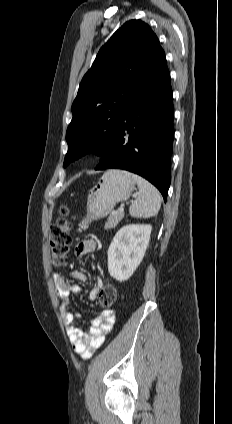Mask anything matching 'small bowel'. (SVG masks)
Segmentation results:
<instances>
[{
	"label": "small bowel",
	"mask_w": 232,
	"mask_h": 424,
	"mask_svg": "<svg viewBox=\"0 0 232 424\" xmlns=\"http://www.w3.org/2000/svg\"><path fill=\"white\" fill-rule=\"evenodd\" d=\"M97 248V241L94 238H86L79 241L74 252L77 257H84ZM70 278L79 282H86L87 275L81 271H73L69 275ZM53 283L58 297L62 300L61 318L66 326L67 335L71 346L76 354L83 359H89L94 352L102 346L105 336L111 331L115 323L114 311L107 309L103 310L97 317L94 318L92 326L88 333L83 332L76 325V319L80 316L77 312L69 310L70 297L73 294L81 292V287L77 284H72L61 273L53 275ZM103 286V280L97 278L95 286L89 292V298L95 300L99 290Z\"/></svg>",
	"instance_id": "1"
}]
</instances>
